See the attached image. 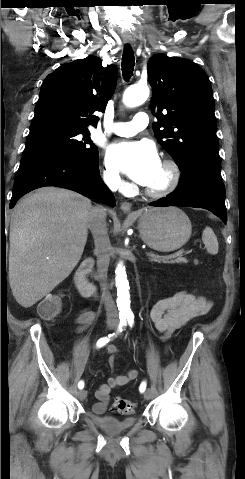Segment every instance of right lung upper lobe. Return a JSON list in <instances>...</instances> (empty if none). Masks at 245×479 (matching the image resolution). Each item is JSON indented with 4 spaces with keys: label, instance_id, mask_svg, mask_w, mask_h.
<instances>
[{
    "label": "right lung upper lobe",
    "instance_id": "1",
    "mask_svg": "<svg viewBox=\"0 0 245 479\" xmlns=\"http://www.w3.org/2000/svg\"><path fill=\"white\" fill-rule=\"evenodd\" d=\"M116 86V68L98 57L64 64L42 83L31 127L58 124L77 129L97 126L93 113L105 111Z\"/></svg>",
    "mask_w": 245,
    "mask_h": 479
}]
</instances>
